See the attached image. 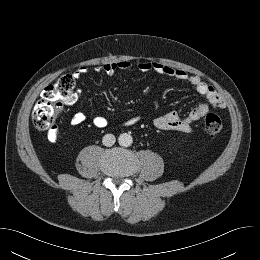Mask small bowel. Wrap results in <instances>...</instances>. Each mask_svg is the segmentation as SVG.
<instances>
[{
  "mask_svg": "<svg viewBox=\"0 0 260 260\" xmlns=\"http://www.w3.org/2000/svg\"><path fill=\"white\" fill-rule=\"evenodd\" d=\"M130 67V62L121 60L116 62H109L96 68L98 72L106 74H113L119 70H126ZM139 70L143 72H154L159 75L175 78L191 85L199 94L205 96L208 100L207 103H203L192 109L187 115L180 116L176 112H168L154 119V126L159 130H175L181 132H190L194 122L202 118L208 113L210 107L216 109H224L226 102L222 96L208 83L195 75H191L182 69L173 68L171 66L150 61H140L138 63ZM87 72L86 67H80L73 73L75 78H80ZM86 119L83 112H77L71 117V124L78 126L82 124ZM140 121V116H133L124 121L125 126H131ZM94 125L99 128H103L107 125L108 121L104 116H97L93 120ZM57 131L49 134V140L55 142Z\"/></svg>",
  "mask_w": 260,
  "mask_h": 260,
  "instance_id": "small-bowel-1",
  "label": "small bowel"
}]
</instances>
